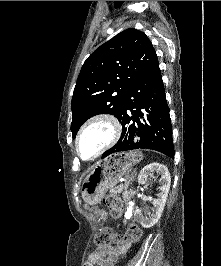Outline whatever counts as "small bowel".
I'll return each instance as SVG.
<instances>
[{"mask_svg":"<svg viewBox=\"0 0 221 266\" xmlns=\"http://www.w3.org/2000/svg\"><path fill=\"white\" fill-rule=\"evenodd\" d=\"M131 245L132 242L124 240L114 246L98 248L88 256L84 266H115L119 258L131 248Z\"/></svg>","mask_w":221,"mask_h":266,"instance_id":"c3829d8e","label":"small bowel"}]
</instances>
